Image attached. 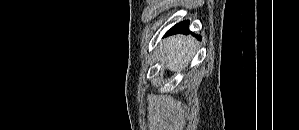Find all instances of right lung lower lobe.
<instances>
[{"mask_svg":"<svg viewBox=\"0 0 299 130\" xmlns=\"http://www.w3.org/2000/svg\"><path fill=\"white\" fill-rule=\"evenodd\" d=\"M188 27H189V22L188 21H183V22L173 26L169 31H167L165 36L173 35V34H176V33H188L189 32Z\"/></svg>","mask_w":299,"mask_h":130,"instance_id":"obj_1","label":"right lung lower lobe"}]
</instances>
